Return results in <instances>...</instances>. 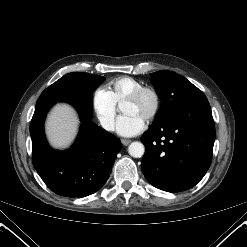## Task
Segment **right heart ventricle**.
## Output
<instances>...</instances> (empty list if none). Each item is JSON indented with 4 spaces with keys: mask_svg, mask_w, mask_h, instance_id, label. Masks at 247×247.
<instances>
[{
    "mask_svg": "<svg viewBox=\"0 0 247 247\" xmlns=\"http://www.w3.org/2000/svg\"><path fill=\"white\" fill-rule=\"evenodd\" d=\"M144 83L129 76H122L112 80L108 84V91L117 104H121L135 90L143 87Z\"/></svg>",
    "mask_w": 247,
    "mask_h": 247,
    "instance_id": "obj_1",
    "label": "right heart ventricle"
}]
</instances>
